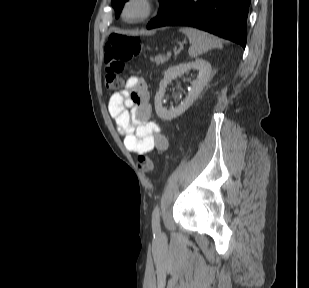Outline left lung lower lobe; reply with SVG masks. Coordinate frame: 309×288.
Returning <instances> with one entry per match:
<instances>
[{"label": "left lung lower lobe", "instance_id": "obj_1", "mask_svg": "<svg viewBox=\"0 0 309 288\" xmlns=\"http://www.w3.org/2000/svg\"><path fill=\"white\" fill-rule=\"evenodd\" d=\"M251 0H173L147 29L184 25L208 31L246 46V25Z\"/></svg>", "mask_w": 309, "mask_h": 288}]
</instances>
